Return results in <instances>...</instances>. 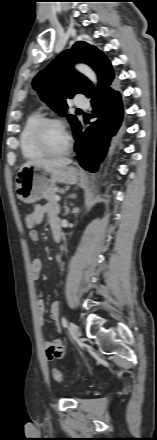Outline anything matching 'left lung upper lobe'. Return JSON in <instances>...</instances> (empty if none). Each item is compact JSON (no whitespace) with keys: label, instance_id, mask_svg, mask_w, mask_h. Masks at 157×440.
<instances>
[{"label":"left lung upper lobe","instance_id":"left-lung-upper-lobe-1","mask_svg":"<svg viewBox=\"0 0 157 440\" xmlns=\"http://www.w3.org/2000/svg\"><path fill=\"white\" fill-rule=\"evenodd\" d=\"M74 62L86 63L97 73L99 80L97 94L92 83L72 68ZM113 79L114 71L107 57L95 46L78 41L36 76L33 87L55 112L65 116L68 108L66 98L81 93L89 98L93 97L94 100L110 89ZM67 119L73 130L80 124L74 115H67Z\"/></svg>","mask_w":157,"mask_h":440}]
</instances>
